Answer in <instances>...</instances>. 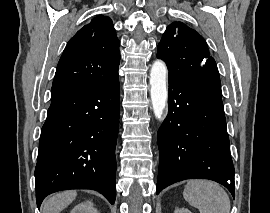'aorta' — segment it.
<instances>
[{"mask_svg":"<svg viewBox=\"0 0 270 213\" xmlns=\"http://www.w3.org/2000/svg\"><path fill=\"white\" fill-rule=\"evenodd\" d=\"M167 67L161 60H156L150 72V95L154 115L161 119L167 104L168 93L166 87Z\"/></svg>","mask_w":270,"mask_h":213,"instance_id":"762f6f07","label":"aorta"}]
</instances>
